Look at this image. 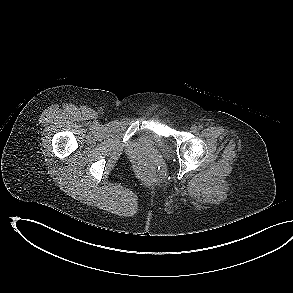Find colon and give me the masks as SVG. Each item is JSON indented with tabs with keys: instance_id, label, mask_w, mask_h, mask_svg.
I'll return each instance as SVG.
<instances>
[{
	"instance_id": "5ec220e1",
	"label": "colon",
	"mask_w": 293,
	"mask_h": 293,
	"mask_svg": "<svg viewBox=\"0 0 293 293\" xmlns=\"http://www.w3.org/2000/svg\"><path fill=\"white\" fill-rule=\"evenodd\" d=\"M146 174H147L149 177L153 176V170H152L151 168L148 169V170L146 171Z\"/></svg>"
}]
</instances>
